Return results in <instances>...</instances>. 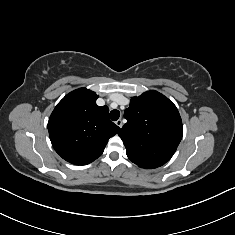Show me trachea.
I'll list each match as a JSON object with an SVG mask.
<instances>
[{"mask_svg": "<svg viewBox=\"0 0 235 235\" xmlns=\"http://www.w3.org/2000/svg\"><path fill=\"white\" fill-rule=\"evenodd\" d=\"M119 117H120V112H119L118 110H112V111L110 112V119H111L112 121L118 120Z\"/></svg>", "mask_w": 235, "mask_h": 235, "instance_id": "trachea-1", "label": "trachea"}]
</instances>
